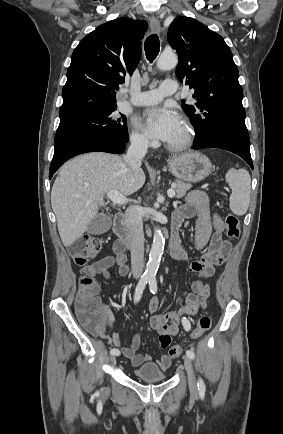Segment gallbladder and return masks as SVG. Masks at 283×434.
Wrapping results in <instances>:
<instances>
[{"label": "gallbladder", "instance_id": "bac80fb5", "mask_svg": "<svg viewBox=\"0 0 283 434\" xmlns=\"http://www.w3.org/2000/svg\"><path fill=\"white\" fill-rule=\"evenodd\" d=\"M112 221L109 215L98 214L87 226V233L99 235L107 232L111 227Z\"/></svg>", "mask_w": 283, "mask_h": 434}]
</instances>
